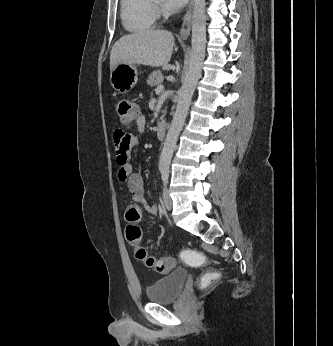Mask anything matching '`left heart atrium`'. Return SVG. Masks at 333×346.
<instances>
[{
    "instance_id": "1",
    "label": "left heart atrium",
    "mask_w": 333,
    "mask_h": 346,
    "mask_svg": "<svg viewBox=\"0 0 333 346\" xmlns=\"http://www.w3.org/2000/svg\"><path fill=\"white\" fill-rule=\"evenodd\" d=\"M163 3V7L167 11H177L184 7L188 0H161Z\"/></svg>"
}]
</instances>
